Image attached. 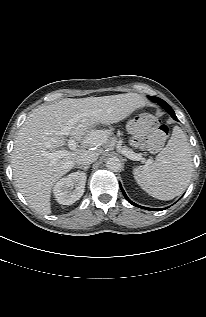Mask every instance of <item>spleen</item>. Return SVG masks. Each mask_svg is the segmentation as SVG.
<instances>
[{"instance_id": "3e777b00", "label": "spleen", "mask_w": 206, "mask_h": 317, "mask_svg": "<svg viewBox=\"0 0 206 317\" xmlns=\"http://www.w3.org/2000/svg\"><path fill=\"white\" fill-rule=\"evenodd\" d=\"M193 172L192 155L186 135L180 127L173 128L167 145L155 161L133 169L134 179L149 195L171 200L188 186Z\"/></svg>"}]
</instances>
